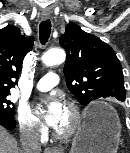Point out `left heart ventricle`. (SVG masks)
Segmentation results:
<instances>
[{"label":"left heart ventricle","mask_w":130,"mask_h":153,"mask_svg":"<svg viewBox=\"0 0 130 153\" xmlns=\"http://www.w3.org/2000/svg\"><path fill=\"white\" fill-rule=\"evenodd\" d=\"M70 122H71V115L69 111L65 107H63L60 119L58 123L54 126V128L59 130H64L69 126Z\"/></svg>","instance_id":"1"}]
</instances>
